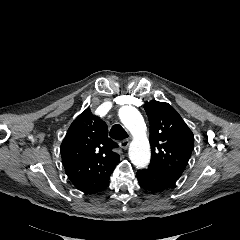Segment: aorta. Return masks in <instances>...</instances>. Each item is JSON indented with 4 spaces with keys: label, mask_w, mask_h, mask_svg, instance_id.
I'll return each instance as SVG.
<instances>
[{
    "label": "aorta",
    "mask_w": 240,
    "mask_h": 240,
    "mask_svg": "<svg viewBox=\"0 0 240 240\" xmlns=\"http://www.w3.org/2000/svg\"><path fill=\"white\" fill-rule=\"evenodd\" d=\"M119 118L133 136L129 147V158L138 168L146 167L150 161V145L146 137V125L140 112L132 106H123Z\"/></svg>",
    "instance_id": "obj_1"
}]
</instances>
